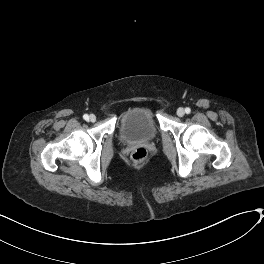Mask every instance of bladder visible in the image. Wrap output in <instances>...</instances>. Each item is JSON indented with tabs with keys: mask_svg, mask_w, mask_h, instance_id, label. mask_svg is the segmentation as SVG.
<instances>
[{
	"mask_svg": "<svg viewBox=\"0 0 264 264\" xmlns=\"http://www.w3.org/2000/svg\"><path fill=\"white\" fill-rule=\"evenodd\" d=\"M159 135L152 111L145 106L127 109L121 118L120 137L125 143L149 142Z\"/></svg>",
	"mask_w": 264,
	"mask_h": 264,
	"instance_id": "1",
	"label": "bladder"
}]
</instances>
